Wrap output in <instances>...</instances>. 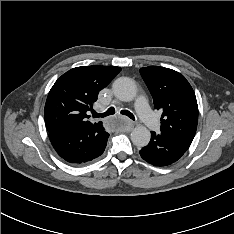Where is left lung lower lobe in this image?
<instances>
[{
    "instance_id": "0a47b994",
    "label": "left lung lower lobe",
    "mask_w": 234,
    "mask_h": 234,
    "mask_svg": "<svg viewBox=\"0 0 234 234\" xmlns=\"http://www.w3.org/2000/svg\"><path fill=\"white\" fill-rule=\"evenodd\" d=\"M186 151L163 134L151 132L149 144L140 150L141 157L155 166L176 162Z\"/></svg>"
}]
</instances>
